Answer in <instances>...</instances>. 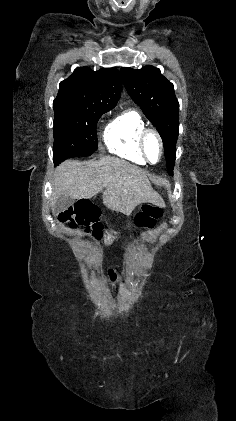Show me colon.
Instances as JSON below:
<instances>
[{
  "label": "colon",
  "mask_w": 236,
  "mask_h": 421,
  "mask_svg": "<svg viewBox=\"0 0 236 421\" xmlns=\"http://www.w3.org/2000/svg\"><path fill=\"white\" fill-rule=\"evenodd\" d=\"M161 215L162 210L160 207L145 204L136 216V224L140 228L151 229ZM96 217V211L86 204L66 210L59 215V219L62 222H66L72 227L85 226L86 232L91 233L93 237L98 239L101 236L102 228Z\"/></svg>",
  "instance_id": "5ec220e1"
}]
</instances>
